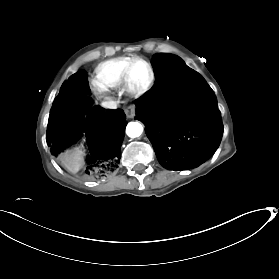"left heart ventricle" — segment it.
Segmentation results:
<instances>
[{
	"mask_svg": "<svg viewBox=\"0 0 279 279\" xmlns=\"http://www.w3.org/2000/svg\"><path fill=\"white\" fill-rule=\"evenodd\" d=\"M150 78V71L145 63L137 62L133 65L130 81L133 87L139 89L144 87Z\"/></svg>",
	"mask_w": 279,
	"mask_h": 279,
	"instance_id": "b2bd125f",
	"label": "left heart ventricle"
}]
</instances>
